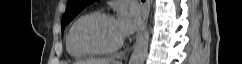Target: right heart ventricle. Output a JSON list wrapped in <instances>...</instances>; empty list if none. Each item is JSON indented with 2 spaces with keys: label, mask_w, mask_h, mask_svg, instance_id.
I'll return each mask as SVG.
<instances>
[{
  "label": "right heart ventricle",
  "mask_w": 242,
  "mask_h": 64,
  "mask_svg": "<svg viewBox=\"0 0 242 64\" xmlns=\"http://www.w3.org/2000/svg\"><path fill=\"white\" fill-rule=\"evenodd\" d=\"M86 14L80 16L73 24L72 26L70 27L69 31H68V34L66 36V48H67V51L68 53L72 56V57H75V58H82V57H85L89 54L85 53V52H82L81 50H79L74 42H73V30H74V27L75 25L77 24V22L82 18L84 17Z\"/></svg>",
  "instance_id": "1"
}]
</instances>
